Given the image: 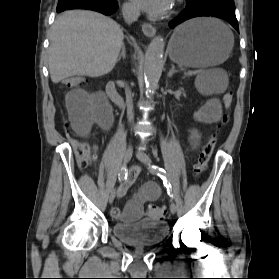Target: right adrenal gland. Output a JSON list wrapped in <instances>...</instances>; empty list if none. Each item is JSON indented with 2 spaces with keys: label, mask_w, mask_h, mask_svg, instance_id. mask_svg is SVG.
<instances>
[{
  "label": "right adrenal gland",
  "mask_w": 279,
  "mask_h": 279,
  "mask_svg": "<svg viewBox=\"0 0 279 279\" xmlns=\"http://www.w3.org/2000/svg\"><path fill=\"white\" fill-rule=\"evenodd\" d=\"M125 55H126L125 46H124V44H122V51H121V54L119 55V57L117 59V62H119L121 60V58L124 59Z\"/></svg>",
  "instance_id": "2a0ac1e0"
}]
</instances>
